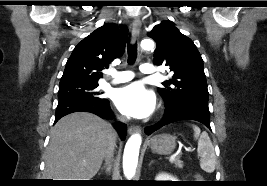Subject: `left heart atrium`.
Listing matches in <instances>:
<instances>
[{
    "label": "left heart atrium",
    "instance_id": "left-heart-atrium-1",
    "mask_svg": "<svg viewBox=\"0 0 267 186\" xmlns=\"http://www.w3.org/2000/svg\"><path fill=\"white\" fill-rule=\"evenodd\" d=\"M114 102L123 114L138 119L150 116L156 106L153 92L147 90L139 82L118 89Z\"/></svg>",
    "mask_w": 267,
    "mask_h": 186
}]
</instances>
